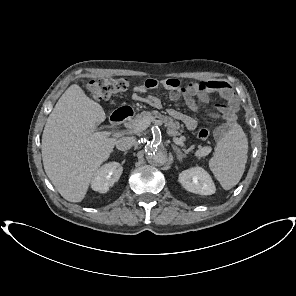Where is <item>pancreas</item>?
Instances as JSON below:
<instances>
[{"label": "pancreas", "mask_w": 296, "mask_h": 296, "mask_svg": "<svg viewBox=\"0 0 296 296\" xmlns=\"http://www.w3.org/2000/svg\"><path fill=\"white\" fill-rule=\"evenodd\" d=\"M145 117H150L152 120L158 124V125H163L165 128H167V133L170 136H175V135H180L179 133V128L180 124L179 122L174 121L171 117H167L159 113L158 111H143L140 114H137L133 119H129L126 123L125 126L129 129H135L140 122ZM181 139L185 140L184 137H180ZM193 147H191L189 150H186L187 152L192 151ZM203 148H200L197 152L196 155L201 157L205 156L202 154Z\"/></svg>", "instance_id": "cf45deb5"}]
</instances>
